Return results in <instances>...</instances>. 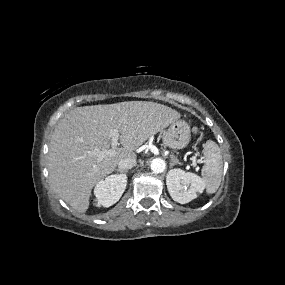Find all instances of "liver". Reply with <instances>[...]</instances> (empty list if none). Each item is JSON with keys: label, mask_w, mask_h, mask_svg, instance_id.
<instances>
[{"label": "liver", "mask_w": 285, "mask_h": 285, "mask_svg": "<svg viewBox=\"0 0 285 285\" xmlns=\"http://www.w3.org/2000/svg\"><path fill=\"white\" fill-rule=\"evenodd\" d=\"M180 118L165 105L127 101L77 107L57 124L49 145L48 170L52 188L75 211L89 208L91 190L112 173L118 162L135 158L134 151L151 136ZM120 132L116 154L98 161L96 150H108L111 132Z\"/></svg>", "instance_id": "6515ba94"}]
</instances>
